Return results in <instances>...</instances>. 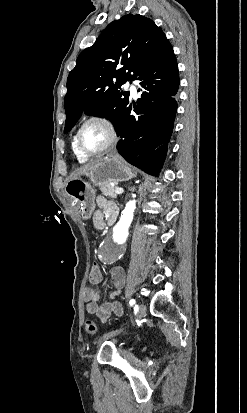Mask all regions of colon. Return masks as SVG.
<instances>
[{
	"label": "colon",
	"instance_id": "obj_1",
	"mask_svg": "<svg viewBox=\"0 0 247 413\" xmlns=\"http://www.w3.org/2000/svg\"><path fill=\"white\" fill-rule=\"evenodd\" d=\"M88 278L98 282L101 280V267L95 263L88 265ZM84 330L86 333L94 334L96 332V323L92 319H85Z\"/></svg>",
	"mask_w": 247,
	"mask_h": 413
}]
</instances>
